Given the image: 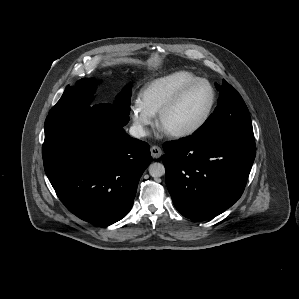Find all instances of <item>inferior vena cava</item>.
I'll return each instance as SVG.
<instances>
[{"label": "inferior vena cava", "instance_id": "602c4592", "mask_svg": "<svg viewBox=\"0 0 299 299\" xmlns=\"http://www.w3.org/2000/svg\"><path fill=\"white\" fill-rule=\"evenodd\" d=\"M129 134L134 138H141L147 136V132L145 131V129L138 124H134L130 127Z\"/></svg>", "mask_w": 299, "mask_h": 299}]
</instances>
